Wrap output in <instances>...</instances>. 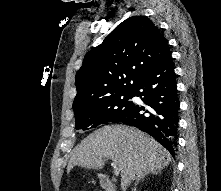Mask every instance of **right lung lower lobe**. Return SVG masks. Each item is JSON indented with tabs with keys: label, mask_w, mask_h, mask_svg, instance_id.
Listing matches in <instances>:
<instances>
[{
	"label": "right lung lower lobe",
	"mask_w": 221,
	"mask_h": 191,
	"mask_svg": "<svg viewBox=\"0 0 221 191\" xmlns=\"http://www.w3.org/2000/svg\"><path fill=\"white\" fill-rule=\"evenodd\" d=\"M133 96L140 97L145 106L133 103L130 111L119 122L148 133L175 155L180 103L171 52L137 83Z\"/></svg>",
	"instance_id": "1"
}]
</instances>
